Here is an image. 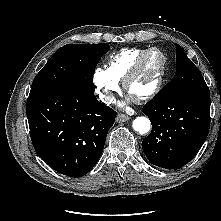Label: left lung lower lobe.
I'll use <instances>...</instances> for the list:
<instances>
[{
  "label": "left lung lower lobe",
  "mask_w": 221,
  "mask_h": 221,
  "mask_svg": "<svg viewBox=\"0 0 221 221\" xmlns=\"http://www.w3.org/2000/svg\"><path fill=\"white\" fill-rule=\"evenodd\" d=\"M152 131L142 141L148 160L165 169L186 165L206 140L210 126V95L185 93L153 98L142 109Z\"/></svg>",
  "instance_id": "0a47b994"
}]
</instances>
